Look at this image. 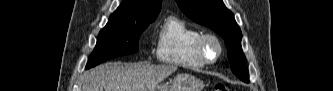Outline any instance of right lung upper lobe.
<instances>
[{
	"label": "right lung upper lobe",
	"instance_id": "cb5924a9",
	"mask_svg": "<svg viewBox=\"0 0 333 91\" xmlns=\"http://www.w3.org/2000/svg\"><path fill=\"white\" fill-rule=\"evenodd\" d=\"M162 0H124L110 16L108 22H129L139 19L156 18Z\"/></svg>",
	"mask_w": 333,
	"mask_h": 91
}]
</instances>
